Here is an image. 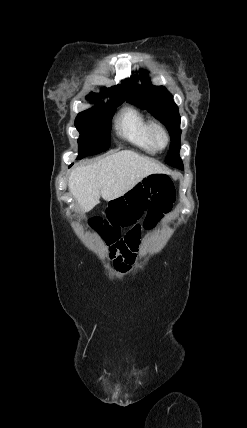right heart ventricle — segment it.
Here are the masks:
<instances>
[{"instance_id":"obj_1","label":"right heart ventricle","mask_w":247,"mask_h":428,"mask_svg":"<svg viewBox=\"0 0 247 428\" xmlns=\"http://www.w3.org/2000/svg\"><path fill=\"white\" fill-rule=\"evenodd\" d=\"M149 124L139 110L130 107L126 108L120 116L119 131L131 144L146 152L155 153L157 148L150 139Z\"/></svg>"}]
</instances>
